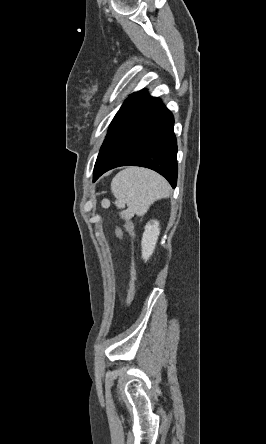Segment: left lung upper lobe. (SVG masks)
<instances>
[{"label":"left lung upper lobe","instance_id":"left-lung-upper-lobe-1","mask_svg":"<svg viewBox=\"0 0 266 444\" xmlns=\"http://www.w3.org/2000/svg\"><path fill=\"white\" fill-rule=\"evenodd\" d=\"M144 94H146L145 90L139 91L137 93H133L131 94L123 103L122 108L131 104L132 102H134L136 99L140 98L141 96H143Z\"/></svg>","mask_w":266,"mask_h":444}]
</instances>
